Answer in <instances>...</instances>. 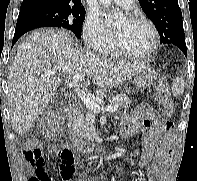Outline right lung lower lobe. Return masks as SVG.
Returning a JSON list of instances; mask_svg holds the SVG:
<instances>
[{"label": "right lung lower lobe", "instance_id": "obj_1", "mask_svg": "<svg viewBox=\"0 0 197 181\" xmlns=\"http://www.w3.org/2000/svg\"><path fill=\"white\" fill-rule=\"evenodd\" d=\"M41 27H56V23L38 14L20 11L12 45H14L24 33Z\"/></svg>", "mask_w": 197, "mask_h": 181}]
</instances>
